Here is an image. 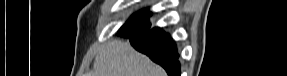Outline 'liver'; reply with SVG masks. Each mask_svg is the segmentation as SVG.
I'll list each match as a JSON object with an SVG mask.
<instances>
[{"instance_id": "1", "label": "liver", "mask_w": 287, "mask_h": 76, "mask_svg": "<svg viewBox=\"0 0 287 76\" xmlns=\"http://www.w3.org/2000/svg\"><path fill=\"white\" fill-rule=\"evenodd\" d=\"M95 76H166L165 71L125 41L109 42L95 57Z\"/></svg>"}]
</instances>
